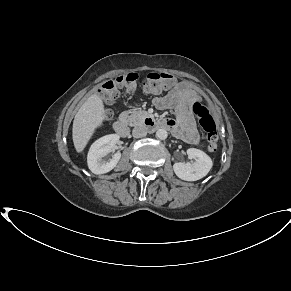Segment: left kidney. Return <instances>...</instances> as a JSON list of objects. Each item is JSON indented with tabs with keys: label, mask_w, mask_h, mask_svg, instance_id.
Segmentation results:
<instances>
[{
	"label": "left kidney",
	"mask_w": 291,
	"mask_h": 291,
	"mask_svg": "<svg viewBox=\"0 0 291 291\" xmlns=\"http://www.w3.org/2000/svg\"><path fill=\"white\" fill-rule=\"evenodd\" d=\"M187 155L189 159H195V161L174 163L173 170L177 177L185 181H197L205 177L213 165L211 158L196 148H189Z\"/></svg>",
	"instance_id": "left-kidney-1"
}]
</instances>
